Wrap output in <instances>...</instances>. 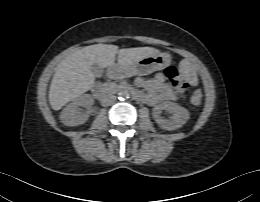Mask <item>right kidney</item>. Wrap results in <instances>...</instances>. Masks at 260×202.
I'll use <instances>...</instances> for the list:
<instances>
[{"mask_svg": "<svg viewBox=\"0 0 260 202\" xmlns=\"http://www.w3.org/2000/svg\"><path fill=\"white\" fill-rule=\"evenodd\" d=\"M93 104V98L90 94H84L71 103H69L60 114L61 122L66 126H78L83 124L90 115V107ZM80 107H86L82 111Z\"/></svg>", "mask_w": 260, "mask_h": 202, "instance_id": "1", "label": "right kidney"}]
</instances>
